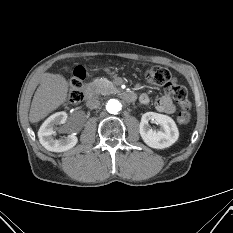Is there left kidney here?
Returning <instances> with one entry per match:
<instances>
[{
	"instance_id": "5707ae66",
	"label": "left kidney",
	"mask_w": 233,
	"mask_h": 233,
	"mask_svg": "<svg viewBox=\"0 0 233 233\" xmlns=\"http://www.w3.org/2000/svg\"><path fill=\"white\" fill-rule=\"evenodd\" d=\"M149 121L160 126L156 131L150 128ZM140 135L143 141L152 148L164 149L174 144L179 137V131L174 120L163 114L147 112L142 115L139 125Z\"/></svg>"
}]
</instances>
